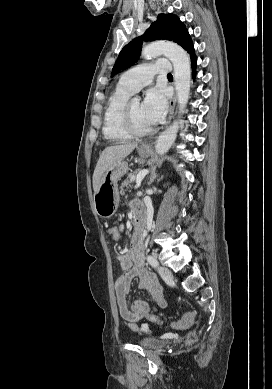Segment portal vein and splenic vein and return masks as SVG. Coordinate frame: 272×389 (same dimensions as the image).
I'll return each mask as SVG.
<instances>
[{"instance_id": "18ae733b", "label": "portal vein and splenic vein", "mask_w": 272, "mask_h": 389, "mask_svg": "<svg viewBox=\"0 0 272 389\" xmlns=\"http://www.w3.org/2000/svg\"><path fill=\"white\" fill-rule=\"evenodd\" d=\"M148 173H149V170L144 169V170L140 171V172L137 174V177H136V186H135V188H138V187L141 185L142 180L144 179V177H145Z\"/></svg>"}]
</instances>
